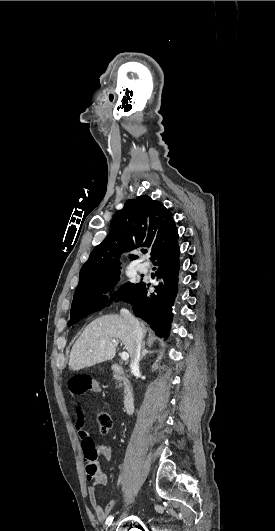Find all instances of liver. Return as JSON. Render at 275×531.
Masks as SVG:
<instances>
[{
	"instance_id": "1",
	"label": "liver",
	"mask_w": 275,
	"mask_h": 531,
	"mask_svg": "<svg viewBox=\"0 0 275 531\" xmlns=\"http://www.w3.org/2000/svg\"><path fill=\"white\" fill-rule=\"evenodd\" d=\"M140 327L142 333H146L144 323H140ZM132 337V327L126 317L122 315L99 317L87 325L74 343L70 353L69 367L72 371H80L85 367H93L97 363L111 361L115 357L119 341L123 343L124 349L130 353L131 357ZM113 339H116V343H112Z\"/></svg>"
}]
</instances>
